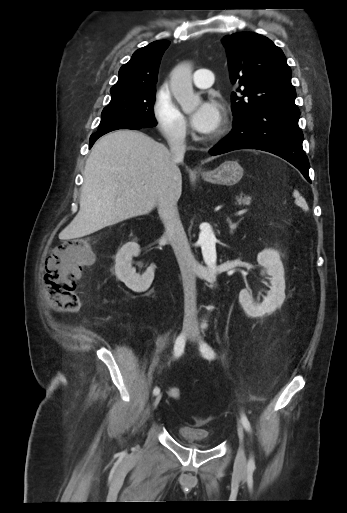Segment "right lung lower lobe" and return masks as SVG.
Listing matches in <instances>:
<instances>
[{
	"instance_id": "obj_1",
	"label": "right lung lower lobe",
	"mask_w": 347,
	"mask_h": 513,
	"mask_svg": "<svg viewBox=\"0 0 347 513\" xmlns=\"http://www.w3.org/2000/svg\"><path fill=\"white\" fill-rule=\"evenodd\" d=\"M142 127L140 126H132V125H128V126H121V127H117V128H113V129H109V130H105V131H98L94 134L91 135L90 137V145H89V148L92 147V145L94 144V142L99 138L101 137L102 135L110 132V131H113V130H117V129H140Z\"/></svg>"
}]
</instances>
